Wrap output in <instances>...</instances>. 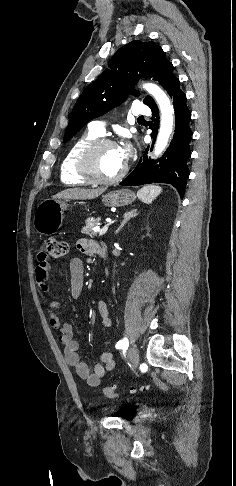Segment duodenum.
<instances>
[{
  "mask_svg": "<svg viewBox=\"0 0 236 486\" xmlns=\"http://www.w3.org/2000/svg\"><path fill=\"white\" fill-rule=\"evenodd\" d=\"M98 251H99V253H100V254H101L103 257H105V252H104V250H103V249H100V248H99V249H98Z\"/></svg>",
  "mask_w": 236,
  "mask_h": 486,
  "instance_id": "duodenum-1",
  "label": "duodenum"
}]
</instances>
